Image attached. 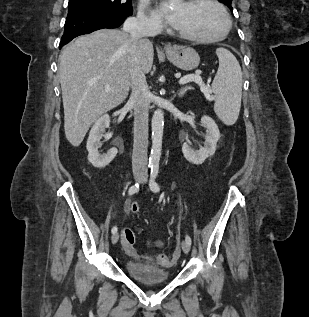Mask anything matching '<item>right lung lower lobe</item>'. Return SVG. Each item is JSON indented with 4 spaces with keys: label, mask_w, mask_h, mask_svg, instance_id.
<instances>
[{
    "label": "right lung lower lobe",
    "mask_w": 309,
    "mask_h": 317,
    "mask_svg": "<svg viewBox=\"0 0 309 317\" xmlns=\"http://www.w3.org/2000/svg\"><path fill=\"white\" fill-rule=\"evenodd\" d=\"M128 16L98 10H69L59 48L73 38L103 28L119 27Z\"/></svg>",
    "instance_id": "obj_1"
}]
</instances>
